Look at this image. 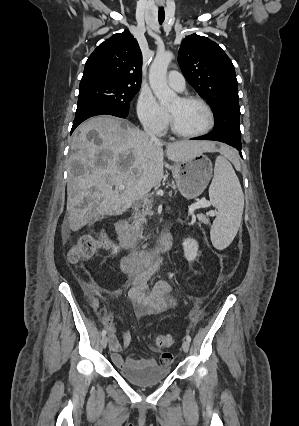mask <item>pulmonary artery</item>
Segmentation results:
<instances>
[{"instance_id":"e3ab8cb5","label":"pulmonary artery","mask_w":299,"mask_h":426,"mask_svg":"<svg viewBox=\"0 0 299 426\" xmlns=\"http://www.w3.org/2000/svg\"><path fill=\"white\" fill-rule=\"evenodd\" d=\"M167 81L168 84L178 92H182L185 89V78L178 71H170L168 73Z\"/></svg>"}]
</instances>
